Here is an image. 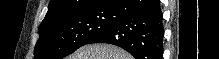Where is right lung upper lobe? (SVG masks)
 I'll list each match as a JSON object with an SVG mask.
<instances>
[{
	"label": "right lung upper lobe",
	"mask_w": 219,
	"mask_h": 59,
	"mask_svg": "<svg viewBox=\"0 0 219 59\" xmlns=\"http://www.w3.org/2000/svg\"><path fill=\"white\" fill-rule=\"evenodd\" d=\"M118 1L119 0H50L48 12L42 23L59 17L86 14L110 8L113 9Z\"/></svg>",
	"instance_id": "right-lung-upper-lobe-1"
}]
</instances>
